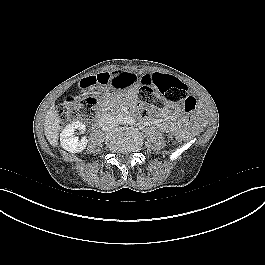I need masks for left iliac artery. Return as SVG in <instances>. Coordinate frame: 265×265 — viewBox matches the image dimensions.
<instances>
[{
	"label": "left iliac artery",
	"mask_w": 265,
	"mask_h": 265,
	"mask_svg": "<svg viewBox=\"0 0 265 265\" xmlns=\"http://www.w3.org/2000/svg\"><path fill=\"white\" fill-rule=\"evenodd\" d=\"M135 122L136 121L132 117H130V116L124 118V123L133 125V124H135Z\"/></svg>",
	"instance_id": "1"
}]
</instances>
